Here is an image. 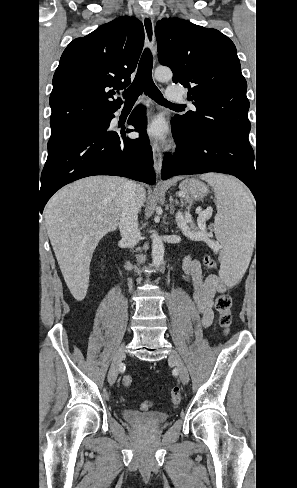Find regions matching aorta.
<instances>
[{"label": "aorta", "mask_w": 297, "mask_h": 488, "mask_svg": "<svg viewBox=\"0 0 297 488\" xmlns=\"http://www.w3.org/2000/svg\"><path fill=\"white\" fill-rule=\"evenodd\" d=\"M156 80L165 82L172 79V71L167 67H157L154 72ZM164 259V244L157 233L152 235V262L155 267L162 264Z\"/></svg>", "instance_id": "762f6f07"}]
</instances>
